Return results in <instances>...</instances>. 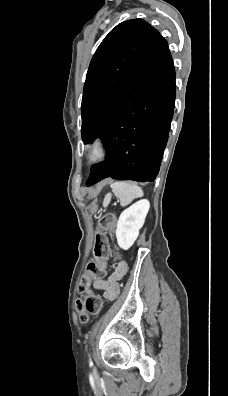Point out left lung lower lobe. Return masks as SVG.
Instances as JSON below:
<instances>
[{
  "mask_svg": "<svg viewBox=\"0 0 228 396\" xmlns=\"http://www.w3.org/2000/svg\"><path fill=\"white\" fill-rule=\"evenodd\" d=\"M175 90L174 64L160 36L99 135L108 143L107 159L91 167L87 186L107 177L154 181L168 140Z\"/></svg>",
  "mask_w": 228,
  "mask_h": 396,
  "instance_id": "left-lung-lower-lobe-1",
  "label": "left lung lower lobe"
}]
</instances>
